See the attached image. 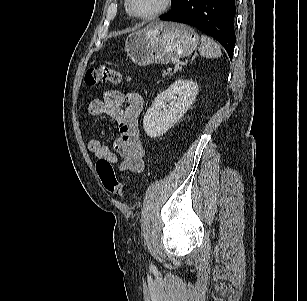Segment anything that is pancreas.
<instances>
[{
	"mask_svg": "<svg viewBox=\"0 0 307 301\" xmlns=\"http://www.w3.org/2000/svg\"><path fill=\"white\" fill-rule=\"evenodd\" d=\"M162 75H163V77H166L167 75H171V74H170V70H168V71H163V74H162Z\"/></svg>",
	"mask_w": 307,
	"mask_h": 301,
	"instance_id": "cf45deb5",
	"label": "pancreas"
}]
</instances>
